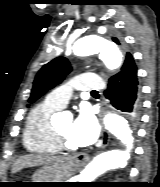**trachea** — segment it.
Listing matches in <instances>:
<instances>
[{
	"label": "trachea",
	"mask_w": 160,
	"mask_h": 187,
	"mask_svg": "<svg viewBox=\"0 0 160 187\" xmlns=\"http://www.w3.org/2000/svg\"><path fill=\"white\" fill-rule=\"evenodd\" d=\"M97 91L93 90L92 93H96Z\"/></svg>",
	"instance_id": "3493384b"
}]
</instances>
